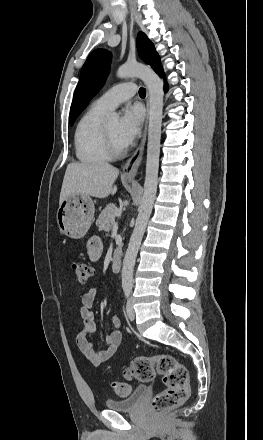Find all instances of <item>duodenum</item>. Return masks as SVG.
Masks as SVG:
<instances>
[{"mask_svg": "<svg viewBox=\"0 0 263 440\" xmlns=\"http://www.w3.org/2000/svg\"><path fill=\"white\" fill-rule=\"evenodd\" d=\"M121 266H122V258H121V255L118 254V253H116V254H114V256L112 257V260H111V267H112V270H113L114 272H119L120 269H121Z\"/></svg>", "mask_w": 263, "mask_h": 440, "instance_id": "410a0bca", "label": "duodenum"}]
</instances>
